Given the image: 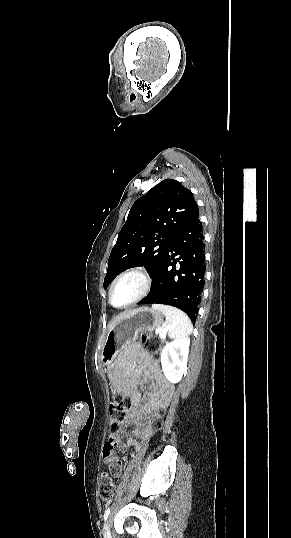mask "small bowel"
Segmentation results:
<instances>
[{
	"instance_id": "obj_1",
	"label": "small bowel",
	"mask_w": 291,
	"mask_h": 538,
	"mask_svg": "<svg viewBox=\"0 0 291 538\" xmlns=\"http://www.w3.org/2000/svg\"><path fill=\"white\" fill-rule=\"evenodd\" d=\"M115 363L106 365V372L115 393L127 397L131 401V409L125 418V424L133 425L132 438L123 440L124 432H115L109 435L107 442H110L114 449L125 452L133 449L139 451L143 444L150 438L148 427V415L152 412L158 401L167 402L171 399L174 388L161 374L158 365L146 354L127 349L123 351ZM145 383L150 387L142 389ZM127 461L118 460L114 465H109L112 473L119 476L123 463Z\"/></svg>"
}]
</instances>
